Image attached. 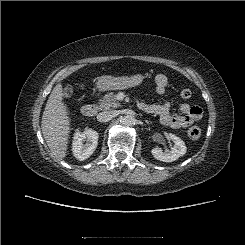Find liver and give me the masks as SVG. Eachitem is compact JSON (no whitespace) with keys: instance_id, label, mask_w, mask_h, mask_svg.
<instances>
[{"instance_id":"6515ba94","label":"liver","mask_w":245,"mask_h":245,"mask_svg":"<svg viewBox=\"0 0 245 245\" xmlns=\"http://www.w3.org/2000/svg\"><path fill=\"white\" fill-rule=\"evenodd\" d=\"M68 107L63 102V88L57 84L46 103L41 128L43 136L53 157L60 161L67 153L70 133V117Z\"/></svg>"}]
</instances>
